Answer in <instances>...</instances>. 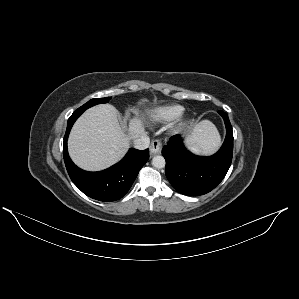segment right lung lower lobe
Here are the masks:
<instances>
[{
	"label": "right lung lower lobe",
	"mask_w": 299,
	"mask_h": 299,
	"mask_svg": "<svg viewBox=\"0 0 299 299\" xmlns=\"http://www.w3.org/2000/svg\"><path fill=\"white\" fill-rule=\"evenodd\" d=\"M84 111L77 109L68 120L63 143L66 169L72 182L85 195L105 202L118 200L128 192L139 170L149 159V149L137 150L131 148L119 163L100 172H88L80 169L69 157L67 140L72 125Z\"/></svg>",
	"instance_id": "right-lung-lower-lobe-1"
}]
</instances>
